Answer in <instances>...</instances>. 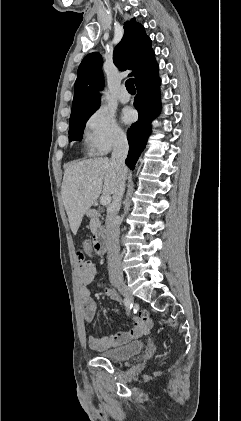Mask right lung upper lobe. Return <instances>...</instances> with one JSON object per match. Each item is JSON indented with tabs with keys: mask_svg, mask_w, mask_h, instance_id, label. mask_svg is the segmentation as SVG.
Listing matches in <instances>:
<instances>
[{
	"mask_svg": "<svg viewBox=\"0 0 241 421\" xmlns=\"http://www.w3.org/2000/svg\"><path fill=\"white\" fill-rule=\"evenodd\" d=\"M124 36L115 47L113 60L120 70H133L136 79L155 60L151 40L135 19L124 24ZM99 53L88 54L81 62L75 81L71 118L93 114L99 108V90L104 86Z\"/></svg>",
	"mask_w": 241,
	"mask_h": 421,
	"instance_id": "1",
	"label": "right lung upper lobe"
}]
</instances>
